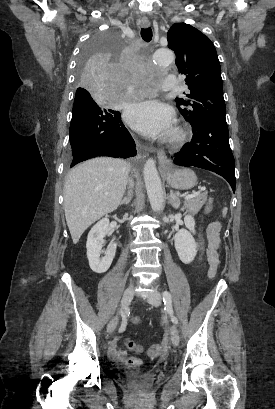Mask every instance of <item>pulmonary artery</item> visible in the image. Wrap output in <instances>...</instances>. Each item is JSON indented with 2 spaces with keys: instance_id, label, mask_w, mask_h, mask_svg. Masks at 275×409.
<instances>
[{
  "instance_id": "obj_1",
  "label": "pulmonary artery",
  "mask_w": 275,
  "mask_h": 409,
  "mask_svg": "<svg viewBox=\"0 0 275 409\" xmlns=\"http://www.w3.org/2000/svg\"><path fill=\"white\" fill-rule=\"evenodd\" d=\"M162 85L164 88H176L177 87V80L175 75H168L167 79H164L162 82ZM128 94H134L135 93V87L134 86H129L127 90Z\"/></svg>"
}]
</instances>
